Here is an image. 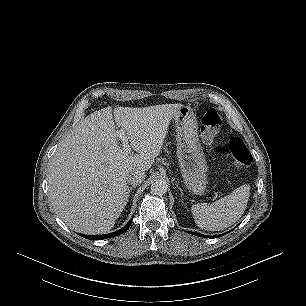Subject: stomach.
I'll list each match as a JSON object with an SVG mask.
<instances>
[{"instance_id":"obj_1","label":"stomach","mask_w":306,"mask_h":306,"mask_svg":"<svg viewBox=\"0 0 306 306\" xmlns=\"http://www.w3.org/2000/svg\"><path fill=\"white\" fill-rule=\"evenodd\" d=\"M177 134V157L184 184L193 194L207 188V163L199 142L198 125L193 110L182 106L174 115Z\"/></svg>"}]
</instances>
